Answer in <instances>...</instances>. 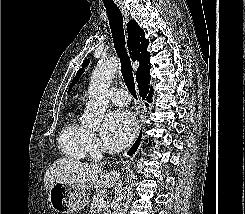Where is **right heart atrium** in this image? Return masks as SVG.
<instances>
[{"mask_svg":"<svg viewBox=\"0 0 245 214\" xmlns=\"http://www.w3.org/2000/svg\"><path fill=\"white\" fill-rule=\"evenodd\" d=\"M88 153L96 158L101 152V142L94 132L89 131L87 138Z\"/></svg>","mask_w":245,"mask_h":214,"instance_id":"1","label":"right heart atrium"}]
</instances>
